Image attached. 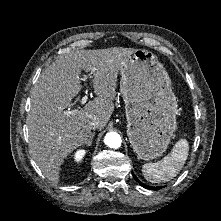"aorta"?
I'll use <instances>...</instances> for the list:
<instances>
[{"mask_svg":"<svg viewBox=\"0 0 221 221\" xmlns=\"http://www.w3.org/2000/svg\"><path fill=\"white\" fill-rule=\"evenodd\" d=\"M104 142L110 148H119L121 146L122 140L118 133L109 132L105 135Z\"/></svg>","mask_w":221,"mask_h":221,"instance_id":"762f6f07","label":"aorta"}]
</instances>
